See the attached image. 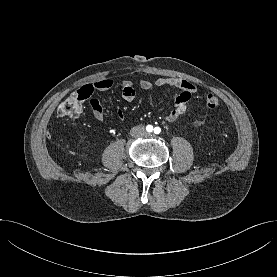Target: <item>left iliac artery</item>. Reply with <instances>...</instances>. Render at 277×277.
I'll list each match as a JSON object with an SVG mask.
<instances>
[{
	"label": "left iliac artery",
	"mask_w": 277,
	"mask_h": 277,
	"mask_svg": "<svg viewBox=\"0 0 277 277\" xmlns=\"http://www.w3.org/2000/svg\"><path fill=\"white\" fill-rule=\"evenodd\" d=\"M161 132V129L159 127L154 128V133L159 134Z\"/></svg>",
	"instance_id": "left-iliac-artery-1"
}]
</instances>
